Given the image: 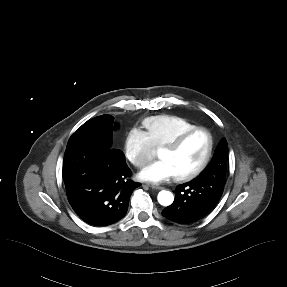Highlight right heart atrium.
Returning a JSON list of instances; mask_svg holds the SVG:
<instances>
[{
	"instance_id": "obj_1",
	"label": "right heart atrium",
	"mask_w": 287,
	"mask_h": 287,
	"mask_svg": "<svg viewBox=\"0 0 287 287\" xmlns=\"http://www.w3.org/2000/svg\"><path fill=\"white\" fill-rule=\"evenodd\" d=\"M124 154L126 159L137 168H142L154 156V146L145 132L132 128L124 139Z\"/></svg>"
}]
</instances>
